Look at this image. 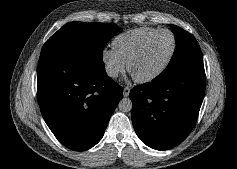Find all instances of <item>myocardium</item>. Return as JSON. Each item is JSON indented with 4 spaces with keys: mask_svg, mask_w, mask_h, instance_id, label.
<instances>
[{
    "mask_svg": "<svg viewBox=\"0 0 237 169\" xmlns=\"http://www.w3.org/2000/svg\"><path fill=\"white\" fill-rule=\"evenodd\" d=\"M162 33H168L171 38H172V48L170 51L169 56L167 57V59L165 60V62L154 72L144 76V77H136L131 70L132 64L142 55V53L144 52V50L146 49V47L150 44V42L157 37L158 35L162 34ZM176 51V39L174 34L167 30V29H162V30H158L157 32H155L153 35H151L150 37H148L140 46L139 48L133 53V55L130 57V59L127 62V70L128 72L132 75V77L134 78V80L138 83H147L150 82L152 80H154L155 78H157L158 76H160L168 67V65L170 64L171 60L174 57Z\"/></svg>",
    "mask_w": 237,
    "mask_h": 169,
    "instance_id": "f54148a6",
    "label": "myocardium"
}]
</instances>
